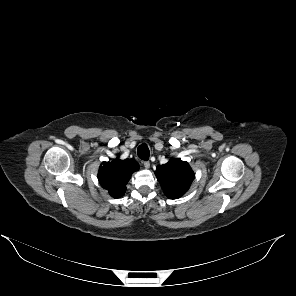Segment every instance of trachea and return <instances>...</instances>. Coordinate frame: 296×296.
Wrapping results in <instances>:
<instances>
[{"label": "trachea", "instance_id": "1", "mask_svg": "<svg viewBox=\"0 0 296 296\" xmlns=\"http://www.w3.org/2000/svg\"><path fill=\"white\" fill-rule=\"evenodd\" d=\"M138 157L142 160H148L149 159V148L146 144H141L137 149Z\"/></svg>", "mask_w": 296, "mask_h": 296}]
</instances>
